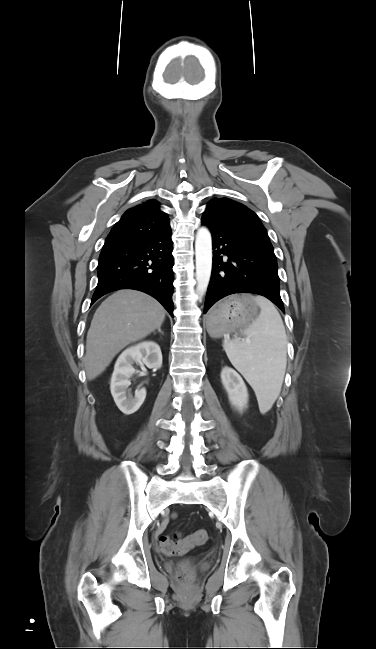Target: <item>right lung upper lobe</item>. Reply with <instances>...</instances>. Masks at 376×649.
<instances>
[{
	"label": "right lung upper lobe",
	"instance_id": "cb5924a9",
	"mask_svg": "<svg viewBox=\"0 0 376 649\" xmlns=\"http://www.w3.org/2000/svg\"><path fill=\"white\" fill-rule=\"evenodd\" d=\"M170 229L167 214L152 199L128 209L109 233L103 249L112 248Z\"/></svg>",
	"mask_w": 376,
	"mask_h": 649
}]
</instances>
